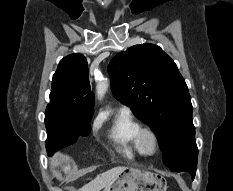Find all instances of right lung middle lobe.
<instances>
[{"label": "right lung middle lobe", "instance_id": "dd1d6c3e", "mask_svg": "<svg viewBox=\"0 0 233 191\" xmlns=\"http://www.w3.org/2000/svg\"><path fill=\"white\" fill-rule=\"evenodd\" d=\"M93 113L94 111L74 112L47 106L45 125L48 134L46 140L48 155L75 143L80 135L87 136Z\"/></svg>", "mask_w": 233, "mask_h": 191}]
</instances>
